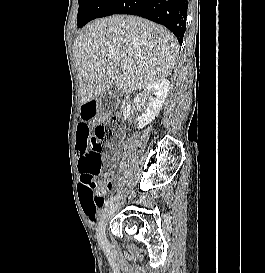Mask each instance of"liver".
I'll return each mask as SVG.
<instances>
[{
  "label": "liver",
  "instance_id": "obj_1",
  "mask_svg": "<svg viewBox=\"0 0 265 273\" xmlns=\"http://www.w3.org/2000/svg\"><path fill=\"white\" fill-rule=\"evenodd\" d=\"M179 44L162 25L136 16L114 15L88 24L73 46L85 104L116 85L129 94L168 77ZM120 63L127 68L120 73Z\"/></svg>",
  "mask_w": 265,
  "mask_h": 273
}]
</instances>
